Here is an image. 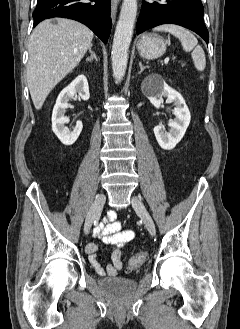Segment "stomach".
Listing matches in <instances>:
<instances>
[{
	"mask_svg": "<svg viewBox=\"0 0 240 329\" xmlns=\"http://www.w3.org/2000/svg\"><path fill=\"white\" fill-rule=\"evenodd\" d=\"M139 54L145 59H155L166 51V42L156 34H144L137 44Z\"/></svg>",
	"mask_w": 240,
	"mask_h": 329,
	"instance_id": "stomach-1",
	"label": "stomach"
}]
</instances>
